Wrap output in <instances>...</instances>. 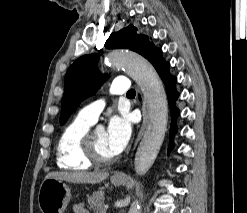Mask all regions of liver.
<instances>
[{
	"label": "liver",
	"instance_id": "1",
	"mask_svg": "<svg viewBox=\"0 0 247 213\" xmlns=\"http://www.w3.org/2000/svg\"><path fill=\"white\" fill-rule=\"evenodd\" d=\"M108 176V172H50L45 179L54 178L71 183L97 184L104 181Z\"/></svg>",
	"mask_w": 247,
	"mask_h": 213
}]
</instances>
